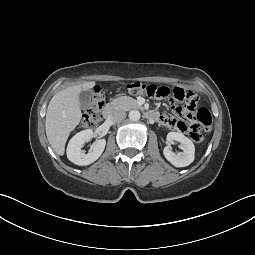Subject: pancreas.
I'll return each instance as SVG.
<instances>
[{
	"instance_id": "1",
	"label": "pancreas",
	"mask_w": 255,
	"mask_h": 255,
	"mask_svg": "<svg viewBox=\"0 0 255 255\" xmlns=\"http://www.w3.org/2000/svg\"><path fill=\"white\" fill-rule=\"evenodd\" d=\"M110 105L115 109L130 110L139 108L137 101L129 96H121L111 101Z\"/></svg>"
}]
</instances>
